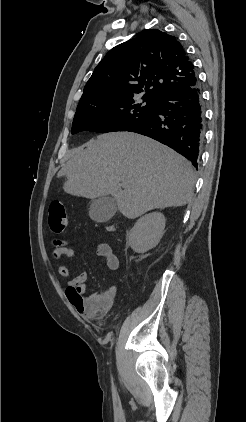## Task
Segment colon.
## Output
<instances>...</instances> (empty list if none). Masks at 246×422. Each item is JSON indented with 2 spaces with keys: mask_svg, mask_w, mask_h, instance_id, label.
I'll return each mask as SVG.
<instances>
[{
  "mask_svg": "<svg viewBox=\"0 0 246 422\" xmlns=\"http://www.w3.org/2000/svg\"><path fill=\"white\" fill-rule=\"evenodd\" d=\"M68 223L66 209L61 201L55 200L49 206V226L54 233H62ZM114 227H109L113 231Z\"/></svg>",
  "mask_w": 246,
  "mask_h": 422,
  "instance_id": "obj_1",
  "label": "colon"
}]
</instances>
